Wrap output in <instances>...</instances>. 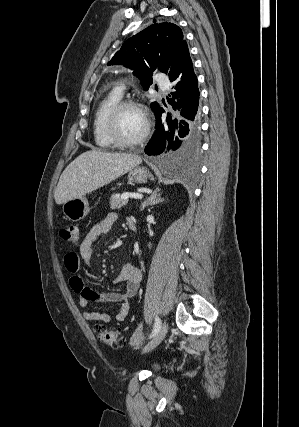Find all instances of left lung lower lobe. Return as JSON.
<instances>
[{
  "label": "left lung lower lobe",
  "instance_id": "0a47b994",
  "mask_svg": "<svg viewBox=\"0 0 299 427\" xmlns=\"http://www.w3.org/2000/svg\"><path fill=\"white\" fill-rule=\"evenodd\" d=\"M168 76L173 82V92L167 98L177 117L167 114L161 120L164 110L157 106L153 111L156 116V132L145 148L148 155H161L167 162H191L200 151V111L198 80L194 73L185 40L170 66Z\"/></svg>",
  "mask_w": 299,
  "mask_h": 427
}]
</instances>
